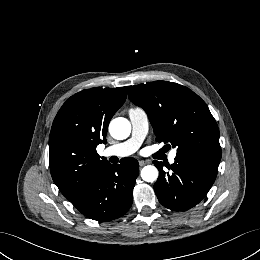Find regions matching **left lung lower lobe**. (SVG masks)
Listing matches in <instances>:
<instances>
[{"label":"left lung lower lobe","instance_id":"0a47b994","mask_svg":"<svg viewBox=\"0 0 260 260\" xmlns=\"http://www.w3.org/2000/svg\"><path fill=\"white\" fill-rule=\"evenodd\" d=\"M220 159L177 154L172 165L164 164L170 171L163 170V163L154 161L159 177L154 190L159 202L168 209L185 211L198 204L208 193L215 181Z\"/></svg>","mask_w":260,"mask_h":260}]
</instances>
